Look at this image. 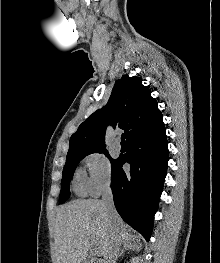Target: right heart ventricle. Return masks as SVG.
Here are the masks:
<instances>
[{
	"mask_svg": "<svg viewBox=\"0 0 220 263\" xmlns=\"http://www.w3.org/2000/svg\"><path fill=\"white\" fill-rule=\"evenodd\" d=\"M73 190L79 196L86 195L88 191L86 177L83 172L78 171L73 179Z\"/></svg>",
	"mask_w": 220,
	"mask_h": 263,
	"instance_id": "right-heart-ventricle-1",
	"label": "right heart ventricle"
}]
</instances>
